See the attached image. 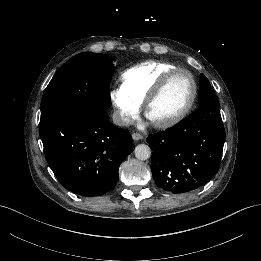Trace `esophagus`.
<instances>
[{
    "label": "esophagus",
    "instance_id": "34e87169",
    "mask_svg": "<svg viewBox=\"0 0 261 261\" xmlns=\"http://www.w3.org/2000/svg\"><path fill=\"white\" fill-rule=\"evenodd\" d=\"M132 139L135 141L143 139V136L140 133H133L132 134Z\"/></svg>",
    "mask_w": 261,
    "mask_h": 261
}]
</instances>
